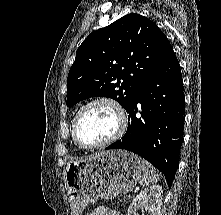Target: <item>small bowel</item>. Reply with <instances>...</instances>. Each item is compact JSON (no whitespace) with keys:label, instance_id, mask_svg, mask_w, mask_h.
Wrapping results in <instances>:
<instances>
[{"label":"small bowel","instance_id":"1","mask_svg":"<svg viewBox=\"0 0 221 215\" xmlns=\"http://www.w3.org/2000/svg\"><path fill=\"white\" fill-rule=\"evenodd\" d=\"M87 215H122L118 210L108 207H98Z\"/></svg>","mask_w":221,"mask_h":215}]
</instances>
